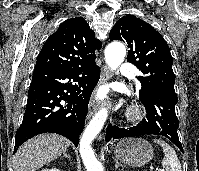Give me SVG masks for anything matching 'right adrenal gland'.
I'll use <instances>...</instances> for the list:
<instances>
[{
	"label": "right adrenal gland",
	"mask_w": 199,
	"mask_h": 171,
	"mask_svg": "<svg viewBox=\"0 0 199 171\" xmlns=\"http://www.w3.org/2000/svg\"><path fill=\"white\" fill-rule=\"evenodd\" d=\"M62 157H66V158H69V159H70V156H69L66 152L63 153V156H62Z\"/></svg>",
	"instance_id": "right-adrenal-gland-1"
}]
</instances>
